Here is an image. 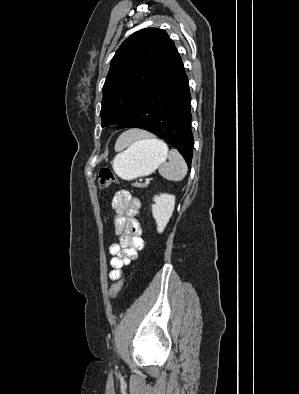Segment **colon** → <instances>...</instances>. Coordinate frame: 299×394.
<instances>
[{
    "label": "colon",
    "instance_id": "obj_1",
    "mask_svg": "<svg viewBox=\"0 0 299 394\" xmlns=\"http://www.w3.org/2000/svg\"><path fill=\"white\" fill-rule=\"evenodd\" d=\"M117 182V177L110 168H102L99 171V184L102 188H107ZM123 284V277H118L110 290L111 298L115 299Z\"/></svg>",
    "mask_w": 299,
    "mask_h": 394
}]
</instances>
